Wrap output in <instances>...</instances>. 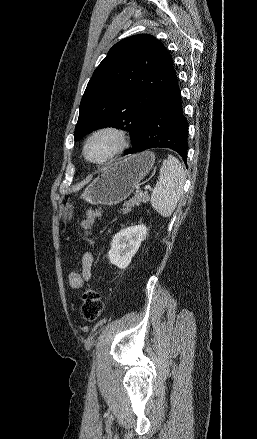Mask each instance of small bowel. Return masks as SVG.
I'll list each match as a JSON object with an SVG mask.
<instances>
[{
    "label": "small bowel",
    "instance_id": "obj_1",
    "mask_svg": "<svg viewBox=\"0 0 257 439\" xmlns=\"http://www.w3.org/2000/svg\"><path fill=\"white\" fill-rule=\"evenodd\" d=\"M93 263V255L90 252H85L82 256V270H81V276H82V285L89 282L92 276L91 273V267ZM77 289V288H73Z\"/></svg>",
    "mask_w": 257,
    "mask_h": 439
}]
</instances>
